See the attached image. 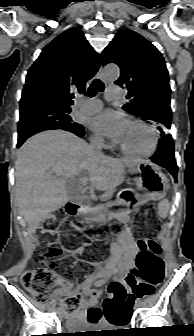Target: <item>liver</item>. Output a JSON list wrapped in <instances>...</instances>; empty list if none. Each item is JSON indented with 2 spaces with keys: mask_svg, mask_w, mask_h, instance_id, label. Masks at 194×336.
I'll list each match as a JSON object with an SVG mask.
<instances>
[{
  "mask_svg": "<svg viewBox=\"0 0 194 336\" xmlns=\"http://www.w3.org/2000/svg\"><path fill=\"white\" fill-rule=\"evenodd\" d=\"M140 161L97 153L84 140L62 130L32 136L19 149L15 165L16 200L28 231L35 233L41 221L70 200L68 179L86 170L92 188L112 192L123 183L126 168Z\"/></svg>",
  "mask_w": 194,
  "mask_h": 336,
  "instance_id": "liver-1",
  "label": "liver"
}]
</instances>
